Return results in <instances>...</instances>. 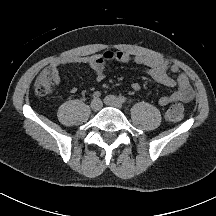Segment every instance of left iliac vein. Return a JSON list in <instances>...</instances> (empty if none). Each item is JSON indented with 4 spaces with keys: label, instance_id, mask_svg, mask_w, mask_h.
<instances>
[{
    "label": "left iliac vein",
    "instance_id": "obj_1",
    "mask_svg": "<svg viewBox=\"0 0 216 216\" xmlns=\"http://www.w3.org/2000/svg\"><path fill=\"white\" fill-rule=\"evenodd\" d=\"M104 103L108 106L115 107L118 109L122 108L121 101L114 95H108L104 98Z\"/></svg>",
    "mask_w": 216,
    "mask_h": 216
}]
</instances>
